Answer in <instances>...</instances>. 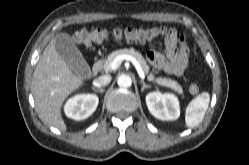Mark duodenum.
I'll return each mask as SVG.
<instances>
[{"label":"duodenum","mask_w":249,"mask_h":165,"mask_svg":"<svg viewBox=\"0 0 249 165\" xmlns=\"http://www.w3.org/2000/svg\"><path fill=\"white\" fill-rule=\"evenodd\" d=\"M101 66H102V61H101V60H96V61L92 64V67H91V72H92V74H97V73L100 71Z\"/></svg>","instance_id":"1"}]
</instances>
